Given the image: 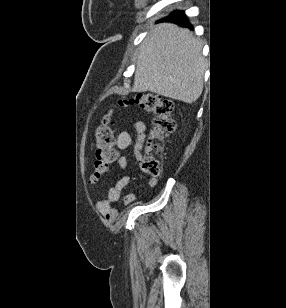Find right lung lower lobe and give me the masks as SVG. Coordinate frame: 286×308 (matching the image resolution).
<instances>
[{"label":"right lung lower lobe","instance_id":"right-lung-lower-lobe-1","mask_svg":"<svg viewBox=\"0 0 286 308\" xmlns=\"http://www.w3.org/2000/svg\"><path fill=\"white\" fill-rule=\"evenodd\" d=\"M161 21H171L182 26L191 27L183 11H174Z\"/></svg>","mask_w":286,"mask_h":308}]
</instances>
